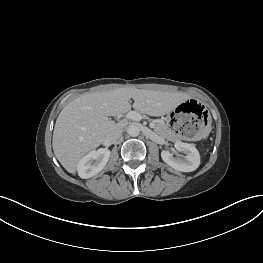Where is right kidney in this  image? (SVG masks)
Here are the masks:
<instances>
[{"label":"right kidney","mask_w":263,"mask_h":263,"mask_svg":"<svg viewBox=\"0 0 263 263\" xmlns=\"http://www.w3.org/2000/svg\"><path fill=\"white\" fill-rule=\"evenodd\" d=\"M110 157V150L100 148L93 150L82 157L77 164L78 175L82 179H88L98 174L107 164Z\"/></svg>","instance_id":"ca27d5eb"}]
</instances>
